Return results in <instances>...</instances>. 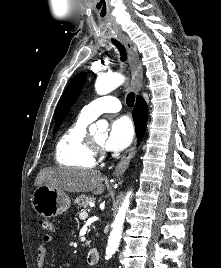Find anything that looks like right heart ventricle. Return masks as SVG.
<instances>
[{
    "label": "right heart ventricle",
    "instance_id": "right-heart-ventricle-1",
    "mask_svg": "<svg viewBox=\"0 0 221 268\" xmlns=\"http://www.w3.org/2000/svg\"><path fill=\"white\" fill-rule=\"evenodd\" d=\"M92 122L82 113L60 135L55 149L57 163L74 168H91L96 157L91 151L87 127Z\"/></svg>",
    "mask_w": 221,
    "mask_h": 268
}]
</instances>
